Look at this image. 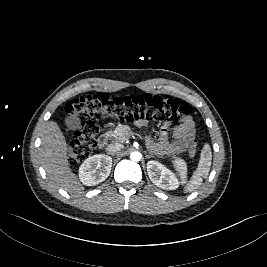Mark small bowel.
I'll return each mask as SVG.
<instances>
[{"instance_id":"obj_1","label":"small bowel","mask_w":267,"mask_h":267,"mask_svg":"<svg viewBox=\"0 0 267 267\" xmlns=\"http://www.w3.org/2000/svg\"><path fill=\"white\" fill-rule=\"evenodd\" d=\"M137 126L142 127L145 121H138ZM196 127L193 119L188 116L173 129V139L169 137V124L165 123L159 132L157 140L147 137L149 150L158 155H178L185 151L191 139L195 138Z\"/></svg>"}]
</instances>
